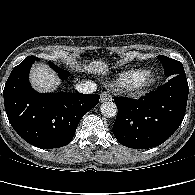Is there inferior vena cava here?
<instances>
[{"label":"inferior vena cava","mask_w":195,"mask_h":195,"mask_svg":"<svg viewBox=\"0 0 195 195\" xmlns=\"http://www.w3.org/2000/svg\"><path fill=\"white\" fill-rule=\"evenodd\" d=\"M75 88L80 93L90 94L96 91L97 85L93 81H81L76 84Z\"/></svg>","instance_id":"obj_1"}]
</instances>
